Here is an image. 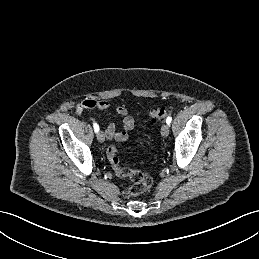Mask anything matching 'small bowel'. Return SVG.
<instances>
[{
  "instance_id": "small-bowel-1",
  "label": "small bowel",
  "mask_w": 259,
  "mask_h": 259,
  "mask_svg": "<svg viewBox=\"0 0 259 259\" xmlns=\"http://www.w3.org/2000/svg\"><path fill=\"white\" fill-rule=\"evenodd\" d=\"M110 107L111 104L106 100L86 99L77 106L76 113L80 115L85 109L107 110ZM115 111L122 120V128L118 130L114 123H110L106 126L104 133L108 139L123 142L128 139V133L134 127V119L123 106H116Z\"/></svg>"
}]
</instances>
